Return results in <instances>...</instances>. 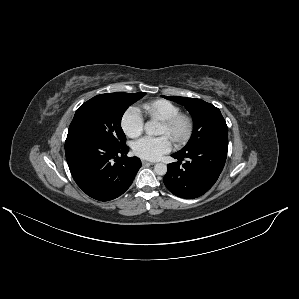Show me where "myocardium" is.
I'll return each mask as SVG.
<instances>
[{
  "label": "myocardium",
  "mask_w": 299,
  "mask_h": 299,
  "mask_svg": "<svg viewBox=\"0 0 299 299\" xmlns=\"http://www.w3.org/2000/svg\"><path fill=\"white\" fill-rule=\"evenodd\" d=\"M162 122L168 130V136L176 143L187 141L193 132V120L184 113H179Z\"/></svg>",
  "instance_id": "1"
}]
</instances>
